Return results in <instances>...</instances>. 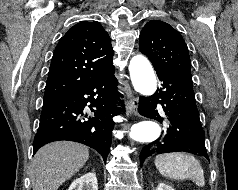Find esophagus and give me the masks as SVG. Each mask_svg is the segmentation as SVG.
<instances>
[{
	"instance_id": "1",
	"label": "esophagus",
	"mask_w": 238,
	"mask_h": 190,
	"mask_svg": "<svg viewBox=\"0 0 238 190\" xmlns=\"http://www.w3.org/2000/svg\"><path fill=\"white\" fill-rule=\"evenodd\" d=\"M127 110L130 114H137L138 110V99L136 97H132L127 100Z\"/></svg>"
}]
</instances>
